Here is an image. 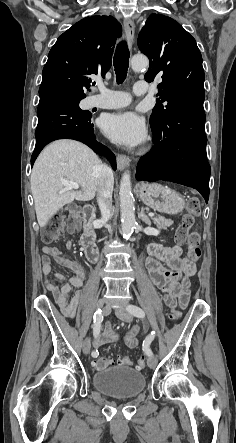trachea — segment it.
I'll list each match as a JSON object with an SVG mask.
<instances>
[{"instance_id":"trachea-1","label":"trachea","mask_w":236,"mask_h":443,"mask_svg":"<svg viewBox=\"0 0 236 443\" xmlns=\"http://www.w3.org/2000/svg\"><path fill=\"white\" fill-rule=\"evenodd\" d=\"M129 57L130 53L127 44L125 41H122L117 46L113 60V65L116 73V80L118 84L123 83L126 79L128 65H129Z\"/></svg>"}]
</instances>
